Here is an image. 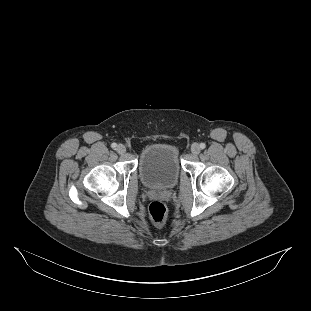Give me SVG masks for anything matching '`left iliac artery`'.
I'll return each mask as SVG.
<instances>
[{"mask_svg":"<svg viewBox=\"0 0 311 311\" xmlns=\"http://www.w3.org/2000/svg\"><path fill=\"white\" fill-rule=\"evenodd\" d=\"M206 147L205 143H200V148L204 149Z\"/></svg>","mask_w":311,"mask_h":311,"instance_id":"44dca946","label":"left iliac artery"}]
</instances>
